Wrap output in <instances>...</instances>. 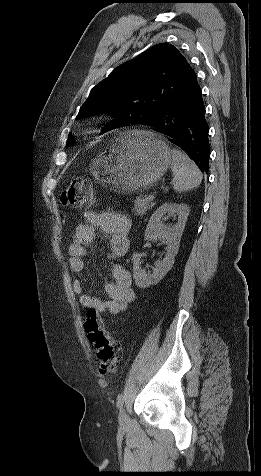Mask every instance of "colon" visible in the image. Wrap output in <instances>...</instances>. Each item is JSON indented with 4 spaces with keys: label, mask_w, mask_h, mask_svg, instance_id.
<instances>
[{
    "label": "colon",
    "mask_w": 261,
    "mask_h": 476,
    "mask_svg": "<svg viewBox=\"0 0 261 476\" xmlns=\"http://www.w3.org/2000/svg\"><path fill=\"white\" fill-rule=\"evenodd\" d=\"M60 202L66 208H90L95 195L90 181L86 178L72 180L60 195ZM84 329L93 345L98 361L99 372L106 375L116 371L121 357V348L105 329L98 312L89 309L84 321Z\"/></svg>",
    "instance_id": "obj_1"
}]
</instances>
